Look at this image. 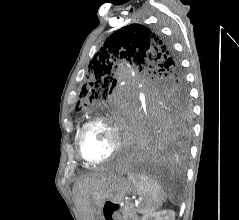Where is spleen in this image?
<instances>
[{"label": "spleen", "instance_id": "obj_1", "mask_svg": "<svg viewBox=\"0 0 239 220\" xmlns=\"http://www.w3.org/2000/svg\"><path fill=\"white\" fill-rule=\"evenodd\" d=\"M128 179L134 184L137 194L144 199L138 206L139 213L155 211L164 203L165 193L152 178L144 174L130 173Z\"/></svg>", "mask_w": 239, "mask_h": 220}]
</instances>
